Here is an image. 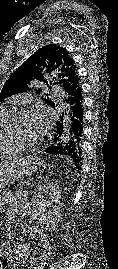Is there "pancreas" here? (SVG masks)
Returning <instances> with one entry per match:
<instances>
[{"instance_id": "obj_1", "label": "pancreas", "mask_w": 118, "mask_h": 269, "mask_svg": "<svg viewBox=\"0 0 118 269\" xmlns=\"http://www.w3.org/2000/svg\"><path fill=\"white\" fill-rule=\"evenodd\" d=\"M36 178L35 177H25L24 180H19L18 187H12V192H21V190H26L29 182H35Z\"/></svg>"}]
</instances>
